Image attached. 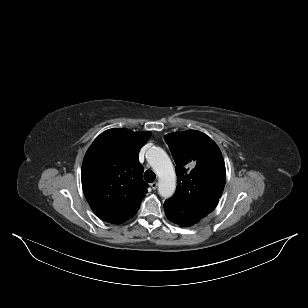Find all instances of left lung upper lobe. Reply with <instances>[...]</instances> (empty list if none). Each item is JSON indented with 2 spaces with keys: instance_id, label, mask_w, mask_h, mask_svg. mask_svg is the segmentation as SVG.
<instances>
[{
  "instance_id": "obj_1",
  "label": "left lung upper lobe",
  "mask_w": 308,
  "mask_h": 308,
  "mask_svg": "<svg viewBox=\"0 0 308 308\" xmlns=\"http://www.w3.org/2000/svg\"><path fill=\"white\" fill-rule=\"evenodd\" d=\"M164 139L177 164V188L164 203L166 216L178 225L199 221L216 208L225 186L221 151L196 130L170 133Z\"/></svg>"
}]
</instances>
